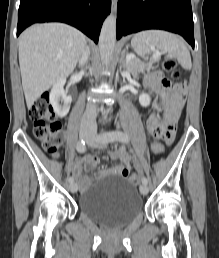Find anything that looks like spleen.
<instances>
[{
    "instance_id": "spleen-1",
    "label": "spleen",
    "mask_w": 219,
    "mask_h": 258,
    "mask_svg": "<svg viewBox=\"0 0 219 258\" xmlns=\"http://www.w3.org/2000/svg\"><path fill=\"white\" fill-rule=\"evenodd\" d=\"M131 45L141 57L150 55L156 50L168 52L177 58L184 69H191V57L185 42L172 33L162 30H146L136 33Z\"/></svg>"
}]
</instances>
